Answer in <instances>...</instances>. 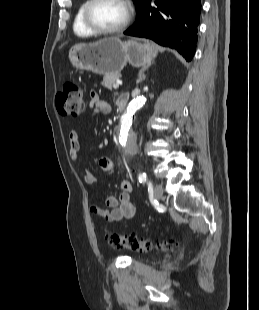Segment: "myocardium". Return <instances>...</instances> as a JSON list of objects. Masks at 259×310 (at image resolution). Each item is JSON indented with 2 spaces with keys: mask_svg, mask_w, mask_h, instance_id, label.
I'll use <instances>...</instances> for the list:
<instances>
[{
  "mask_svg": "<svg viewBox=\"0 0 259 310\" xmlns=\"http://www.w3.org/2000/svg\"><path fill=\"white\" fill-rule=\"evenodd\" d=\"M100 0H89L83 11V22L85 26L93 33L97 35H112L124 31L130 24L132 19V10L127 0H120L126 8L125 20L117 27L103 28L95 24L91 18V11L95 4Z\"/></svg>",
  "mask_w": 259,
  "mask_h": 310,
  "instance_id": "obj_1",
  "label": "myocardium"
}]
</instances>
